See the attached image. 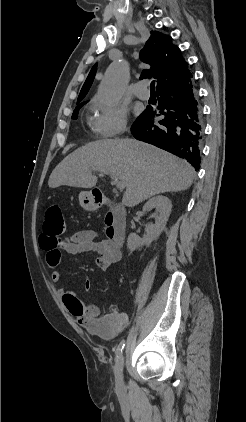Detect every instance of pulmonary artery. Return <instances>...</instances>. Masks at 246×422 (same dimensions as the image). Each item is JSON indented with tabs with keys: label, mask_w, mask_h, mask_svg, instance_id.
<instances>
[{
	"label": "pulmonary artery",
	"mask_w": 246,
	"mask_h": 422,
	"mask_svg": "<svg viewBox=\"0 0 246 422\" xmlns=\"http://www.w3.org/2000/svg\"><path fill=\"white\" fill-rule=\"evenodd\" d=\"M134 93L137 97L143 100H147L150 97V92L145 81H140L135 84Z\"/></svg>",
	"instance_id": "e3ab8cb5"
}]
</instances>
